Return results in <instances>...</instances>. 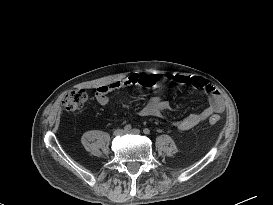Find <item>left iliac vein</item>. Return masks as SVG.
<instances>
[{
	"instance_id": "obj_1",
	"label": "left iliac vein",
	"mask_w": 273,
	"mask_h": 205,
	"mask_svg": "<svg viewBox=\"0 0 273 205\" xmlns=\"http://www.w3.org/2000/svg\"><path fill=\"white\" fill-rule=\"evenodd\" d=\"M127 133L138 135V134H140V130L139 129H132V130L127 131Z\"/></svg>"
}]
</instances>
